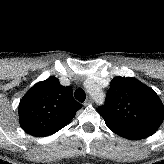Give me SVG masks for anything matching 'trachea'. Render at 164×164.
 <instances>
[{"label":"trachea","mask_w":164,"mask_h":164,"mask_svg":"<svg viewBox=\"0 0 164 164\" xmlns=\"http://www.w3.org/2000/svg\"><path fill=\"white\" fill-rule=\"evenodd\" d=\"M75 98L80 102H84L86 99V94H85L84 90H82L81 88H78L75 91Z\"/></svg>","instance_id":"1"}]
</instances>
